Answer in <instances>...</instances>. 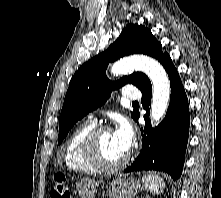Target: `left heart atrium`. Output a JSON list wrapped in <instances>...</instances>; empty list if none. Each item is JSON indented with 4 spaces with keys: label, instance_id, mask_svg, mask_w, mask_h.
Wrapping results in <instances>:
<instances>
[{
    "label": "left heart atrium",
    "instance_id": "left-heart-atrium-1",
    "mask_svg": "<svg viewBox=\"0 0 221 198\" xmlns=\"http://www.w3.org/2000/svg\"><path fill=\"white\" fill-rule=\"evenodd\" d=\"M113 139L118 147L124 153H127L133 141V131L130 124L126 121H121L113 131Z\"/></svg>",
    "mask_w": 221,
    "mask_h": 198
}]
</instances>
